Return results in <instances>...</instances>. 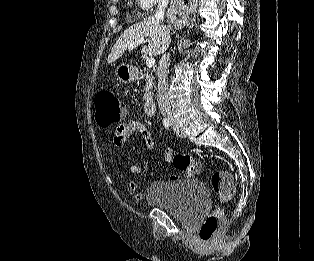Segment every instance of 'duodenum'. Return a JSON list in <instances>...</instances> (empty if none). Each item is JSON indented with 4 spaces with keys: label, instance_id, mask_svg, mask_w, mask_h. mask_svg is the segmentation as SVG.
Masks as SVG:
<instances>
[{
    "label": "duodenum",
    "instance_id": "1",
    "mask_svg": "<svg viewBox=\"0 0 314 261\" xmlns=\"http://www.w3.org/2000/svg\"><path fill=\"white\" fill-rule=\"evenodd\" d=\"M136 79H141L143 75L141 73H135ZM143 112L146 116L152 117L155 113V103L151 99H147L143 105Z\"/></svg>",
    "mask_w": 314,
    "mask_h": 261
}]
</instances>
